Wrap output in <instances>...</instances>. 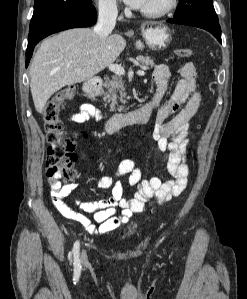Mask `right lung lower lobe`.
<instances>
[{
    "label": "right lung lower lobe",
    "mask_w": 247,
    "mask_h": 299,
    "mask_svg": "<svg viewBox=\"0 0 247 299\" xmlns=\"http://www.w3.org/2000/svg\"><path fill=\"white\" fill-rule=\"evenodd\" d=\"M96 19L95 7L90 5L61 13L30 29L26 50V67L29 64L35 45L40 40L62 30L92 26Z\"/></svg>",
    "instance_id": "right-lung-lower-lobe-1"
}]
</instances>
